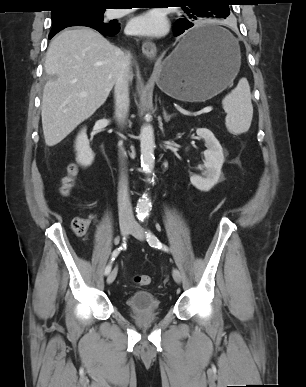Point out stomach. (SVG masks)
<instances>
[{
    "mask_svg": "<svg viewBox=\"0 0 306 387\" xmlns=\"http://www.w3.org/2000/svg\"><path fill=\"white\" fill-rule=\"evenodd\" d=\"M214 29L228 35L227 40L184 48V40L156 67L158 87L182 101L203 102L229 86L237 76L241 55L237 41L212 23H202L191 32Z\"/></svg>",
    "mask_w": 306,
    "mask_h": 387,
    "instance_id": "0dacf381",
    "label": "stomach"
}]
</instances>
